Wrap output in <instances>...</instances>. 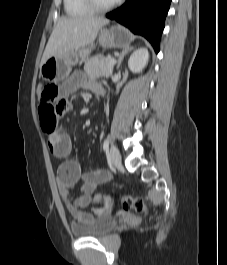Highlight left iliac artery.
<instances>
[{"label":"left iliac artery","mask_w":227,"mask_h":265,"mask_svg":"<svg viewBox=\"0 0 227 265\" xmlns=\"http://www.w3.org/2000/svg\"><path fill=\"white\" fill-rule=\"evenodd\" d=\"M108 148H109V140H108V138H106V139L104 140V143H103V150H104V151H107Z\"/></svg>","instance_id":"obj_1"}]
</instances>
